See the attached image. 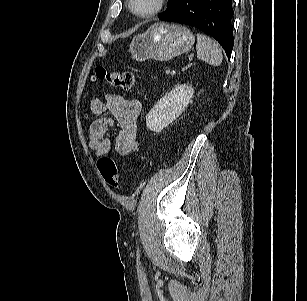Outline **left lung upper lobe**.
Wrapping results in <instances>:
<instances>
[{"instance_id":"1","label":"left lung upper lobe","mask_w":307,"mask_h":301,"mask_svg":"<svg viewBox=\"0 0 307 301\" xmlns=\"http://www.w3.org/2000/svg\"><path fill=\"white\" fill-rule=\"evenodd\" d=\"M179 2H180V0H168L167 9L162 14H160L158 17L165 15L168 12H170Z\"/></svg>"}]
</instances>
